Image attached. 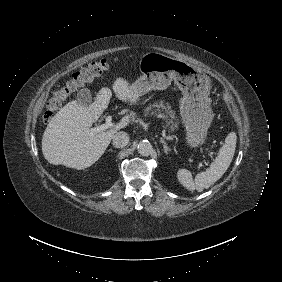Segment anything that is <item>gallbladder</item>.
<instances>
[{
  "label": "gallbladder",
  "mask_w": 282,
  "mask_h": 282,
  "mask_svg": "<svg viewBox=\"0 0 282 282\" xmlns=\"http://www.w3.org/2000/svg\"><path fill=\"white\" fill-rule=\"evenodd\" d=\"M92 102V94L89 89H82L77 94V103L81 106L89 105Z\"/></svg>",
  "instance_id": "1"
}]
</instances>
